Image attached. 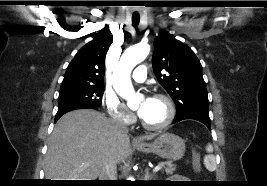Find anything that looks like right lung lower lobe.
I'll use <instances>...</instances> for the list:
<instances>
[{
  "mask_svg": "<svg viewBox=\"0 0 267 186\" xmlns=\"http://www.w3.org/2000/svg\"><path fill=\"white\" fill-rule=\"evenodd\" d=\"M84 108L96 109V107H94V106H76V107H67V108L58 109V112L55 116V122L58 121V119L62 115H64L65 113H67L69 111L76 110V109H84Z\"/></svg>",
  "mask_w": 267,
  "mask_h": 186,
  "instance_id": "right-lung-lower-lobe-1",
  "label": "right lung lower lobe"
}]
</instances>
